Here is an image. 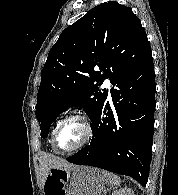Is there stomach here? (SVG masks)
Here are the masks:
<instances>
[{"instance_id":"stomach-1","label":"stomach","mask_w":178,"mask_h":195,"mask_svg":"<svg viewBox=\"0 0 178 195\" xmlns=\"http://www.w3.org/2000/svg\"><path fill=\"white\" fill-rule=\"evenodd\" d=\"M56 181L57 195H101L106 179L103 171L90 166H75L72 169H50L47 179Z\"/></svg>"}]
</instances>
